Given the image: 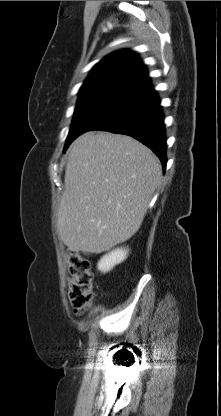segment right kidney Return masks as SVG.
<instances>
[{
    "mask_svg": "<svg viewBox=\"0 0 221 416\" xmlns=\"http://www.w3.org/2000/svg\"><path fill=\"white\" fill-rule=\"evenodd\" d=\"M128 255V250L123 248L115 249L104 255L98 262V270L106 273L112 270L117 264L123 262Z\"/></svg>",
    "mask_w": 221,
    "mask_h": 416,
    "instance_id": "ca27d5eb",
    "label": "right kidney"
}]
</instances>
